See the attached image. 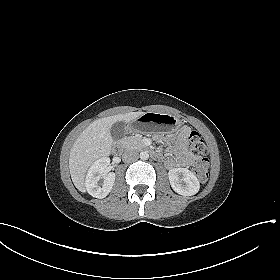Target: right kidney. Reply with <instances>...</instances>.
I'll list each match as a JSON object with an SVG mask.
<instances>
[{
	"instance_id": "obj_1",
	"label": "right kidney",
	"mask_w": 280,
	"mask_h": 280,
	"mask_svg": "<svg viewBox=\"0 0 280 280\" xmlns=\"http://www.w3.org/2000/svg\"><path fill=\"white\" fill-rule=\"evenodd\" d=\"M109 165V159L106 157L95 161L88 170L85 180V187L87 192L95 198H105L115 182V173L106 172ZM103 178V183L99 185V180Z\"/></svg>"
}]
</instances>
